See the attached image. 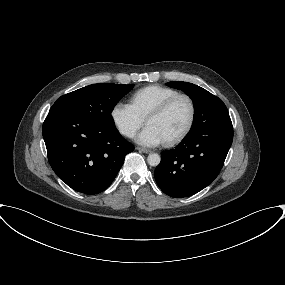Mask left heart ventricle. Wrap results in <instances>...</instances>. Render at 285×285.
<instances>
[{
	"label": "left heart ventricle",
	"mask_w": 285,
	"mask_h": 285,
	"mask_svg": "<svg viewBox=\"0 0 285 285\" xmlns=\"http://www.w3.org/2000/svg\"><path fill=\"white\" fill-rule=\"evenodd\" d=\"M189 115L188 102L185 99H179L164 114L150 119L147 125L155 128L166 141L182 131L188 122Z\"/></svg>",
	"instance_id": "left-heart-ventricle-1"
}]
</instances>
